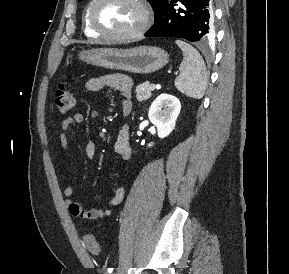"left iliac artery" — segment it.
<instances>
[{
  "label": "left iliac artery",
  "mask_w": 289,
  "mask_h": 274,
  "mask_svg": "<svg viewBox=\"0 0 289 274\" xmlns=\"http://www.w3.org/2000/svg\"><path fill=\"white\" fill-rule=\"evenodd\" d=\"M113 268H108V273H112Z\"/></svg>",
  "instance_id": "obj_1"
}]
</instances>
